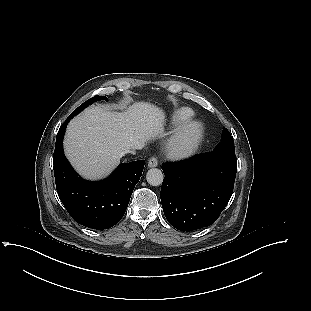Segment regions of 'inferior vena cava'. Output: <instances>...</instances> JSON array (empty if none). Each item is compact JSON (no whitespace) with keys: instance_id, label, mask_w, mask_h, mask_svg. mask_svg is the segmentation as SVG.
<instances>
[{"instance_id":"obj_1","label":"inferior vena cava","mask_w":311,"mask_h":311,"mask_svg":"<svg viewBox=\"0 0 311 311\" xmlns=\"http://www.w3.org/2000/svg\"><path fill=\"white\" fill-rule=\"evenodd\" d=\"M126 149L128 150L129 153L134 154L140 149V146L137 143H129L126 146Z\"/></svg>"}]
</instances>
